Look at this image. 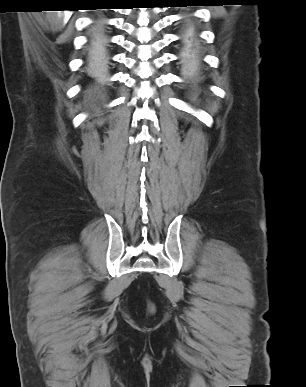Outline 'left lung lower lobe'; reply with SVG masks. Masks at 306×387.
I'll return each instance as SVG.
<instances>
[{
  "instance_id": "obj_1",
  "label": "left lung lower lobe",
  "mask_w": 306,
  "mask_h": 387,
  "mask_svg": "<svg viewBox=\"0 0 306 387\" xmlns=\"http://www.w3.org/2000/svg\"><path fill=\"white\" fill-rule=\"evenodd\" d=\"M179 3L187 4L185 3V1H180ZM181 42L183 45V51H182L183 59L189 62L195 61L198 57V42L192 29L188 27L185 28V31L182 35Z\"/></svg>"
}]
</instances>
